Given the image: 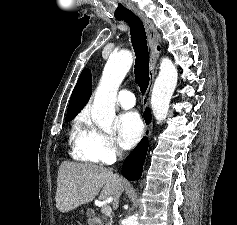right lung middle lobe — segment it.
Returning a JSON list of instances; mask_svg holds the SVG:
<instances>
[{"mask_svg": "<svg viewBox=\"0 0 237 225\" xmlns=\"http://www.w3.org/2000/svg\"><path fill=\"white\" fill-rule=\"evenodd\" d=\"M77 114L66 116L65 121H71Z\"/></svg>", "mask_w": 237, "mask_h": 225, "instance_id": "dd1d6c3e", "label": "right lung middle lobe"}]
</instances>
